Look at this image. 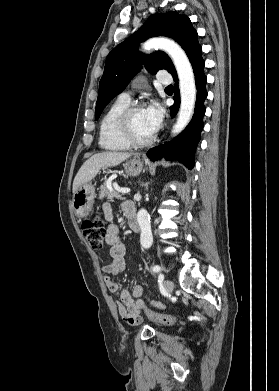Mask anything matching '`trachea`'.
<instances>
[{"mask_svg": "<svg viewBox=\"0 0 279 391\" xmlns=\"http://www.w3.org/2000/svg\"><path fill=\"white\" fill-rule=\"evenodd\" d=\"M166 89H173V86L169 85V86L166 87Z\"/></svg>", "mask_w": 279, "mask_h": 391, "instance_id": "1", "label": "trachea"}]
</instances>
